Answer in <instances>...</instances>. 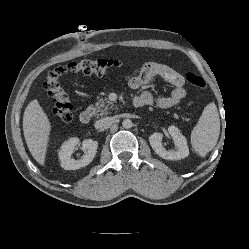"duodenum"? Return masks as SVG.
Instances as JSON below:
<instances>
[{
  "instance_id": "410a0bca",
  "label": "duodenum",
  "mask_w": 249,
  "mask_h": 249,
  "mask_svg": "<svg viewBox=\"0 0 249 249\" xmlns=\"http://www.w3.org/2000/svg\"><path fill=\"white\" fill-rule=\"evenodd\" d=\"M93 110L92 109H86L80 114V121L83 124H88L92 118Z\"/></svg>"
}]
</instances>
